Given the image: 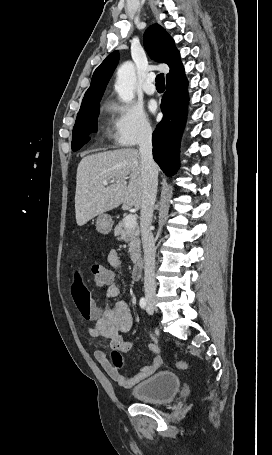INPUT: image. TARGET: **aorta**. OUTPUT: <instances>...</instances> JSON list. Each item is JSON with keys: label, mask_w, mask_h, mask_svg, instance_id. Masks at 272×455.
Segmentation results:
<instances>
[{"label": "aorta", "mask_w": 272, "mask_h": 455, "mask_svg": "<svg viewBox=\"0 0 272 455\" xmlns=\"http://www.w3.org/2000/svg\"><path fill=\"white\" fill-rule=\"evenodd\" d=\"M136 74L134 64L130 61L123 63L117 70L115 90L123 102L128 103L134 98Z\"/></svg>", "instance_id": "1"}]
</instances>
